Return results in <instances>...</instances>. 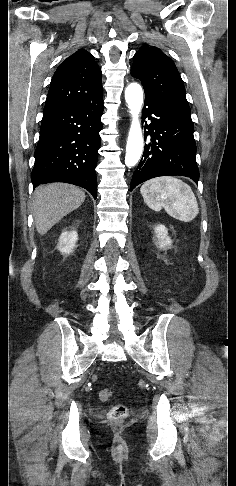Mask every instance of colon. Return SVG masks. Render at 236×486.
I'll list each match as a JSON object with an SVG mask.
<instances>
[{"instance_id": "obj_1", "label": "colon", "mask_w": 236, "mask_h": 486, "mask_svg": "<svg viewBox=\"0 0 236 486\" xmlns=\"http://www.w3.org/2000/svg\"><path fill=\"white\" fill-rule=\"evenodd\" d=\"M112 396V392L109 389H103L99 392V399L103 402L108 401ZM129 415V408L126 405H115L111 408L108 414V418L113 423H122Z\"/></svg>"}]
</instances>
